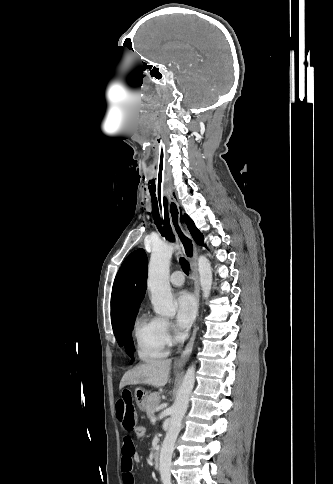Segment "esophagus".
Listing matches in <instances>:
<instances>
[{
	"instance_id": "obj_1",
	"label": "esophagus",
	"mask_w": 333,
	"mask_h": 484,
	"mask_svg": "<svg viewBox=\"0 0 333 484\" xmlns=\"http://www.w3.org/2000/svg\"><path fill=\"white\" fill-rule=\"evenodd\" d=\"M168 202H169V216H170V221H171L173 230L180 242L184 255L189 259L191 264L192 278L194 280V295H195L197 306L199 308L200 286H199L198 269H197V247L193 239L189 235V233L185 230V228L182 225V222H181L182 211L180 210L179 204L177 203L173 195H168ZM197 329L198 327L195 324L192 332V336L189 342L187 343L186 347L182 351L181 355L175 360V365L183 366L188 361L193 349Z\"/></svg>"
}]
</instances>
